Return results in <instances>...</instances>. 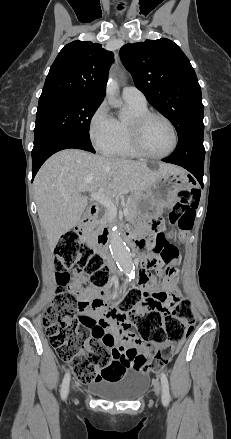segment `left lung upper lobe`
<instances>
[{
    "mask_svg": "<svg viewBox=\"0 0 231 439\" xmlns=\"http://www.w3.org/2000/svg\"><path fill=\"white\" fill-rule=\"evenodd\" d=\"M120 56L136 87L171 121L179 138L190 128L204 126L198 79L176 43L161 38L126 44Z\"/></svg>",
    "mask_w": 231,
    "mask_h": 439,
    "instance_id": "1",
    "label": "left lung upper lobe"
}]
</instances>
